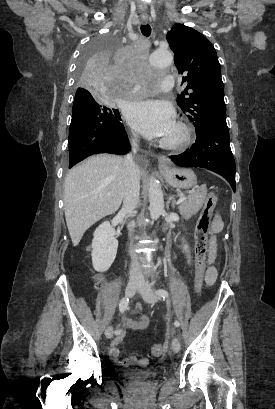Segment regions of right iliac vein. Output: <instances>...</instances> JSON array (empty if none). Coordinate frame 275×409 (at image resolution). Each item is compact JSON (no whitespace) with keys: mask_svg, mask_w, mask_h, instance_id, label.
I'll use <instances>...</instances> for the list:
<instances>
[{"mask_svg":"<svg viewBox=\"0 0 275 409\" xmlns=\"http://www.w3.org/2000/svg\"><path fill=\"white\" fill-rule=\"evenodd\" d=\"M140 284L137 282H128L127 286H126V291L125 294L128 297H132L134 295V293L136 292V290L139 288ZM105 335L107 338H112L113 336V327L109 326L106 331H105Z\"/></svg>","mask_w":275,"mask_h":409,"instance_id":"1","label":"right iliac vein"}]
</instances>
